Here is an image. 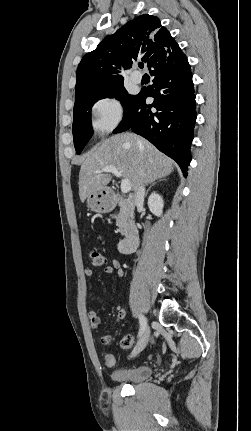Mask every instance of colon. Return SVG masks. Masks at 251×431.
<instances>
[{
    "label": "colon",
    "instance_id": "colon-1",
    "mask_svg": "<svg viewBox=\"0 0 251 431\" xmlns=\"http://www.w3.org/2000/svg\"><path fill=\"white\" fill-rule=\"evenodd\" d=\"M88 257H89L90 263L94 267L104 266L107 262L106 257L96 249H90L88 251ZM132 345H133L132 336H124L121 340L120 349L123 352H126ZM103 359H104L105 367L108 370H113L116 367V364H118L119 362L117 359V355L112 351H107L103 356Z\"/></svg>",
    "mask_w": 251,
    "mask_h": 431
}]
</instances>
